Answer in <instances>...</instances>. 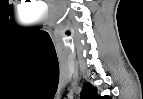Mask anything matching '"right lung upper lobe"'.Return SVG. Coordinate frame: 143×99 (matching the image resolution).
Segmentation results:
<instances>
[{
  "mask_svg": "<svg viewBox=\"0 0 143 99\" xmlns=\"http://www.w3.org/2000/svg\"><path fill=\"white\" fill-rule=\"evenodd\" d=\"M109 96L101 97L97 93V89L89 82L85 83L81 91V99H109Z\"/></svg>",
  "mask_w": 143,
  "mask_h": 99,
  "instance_id": "obj_1",
  "label": "right lung upper lobe"
}]
</instances>
